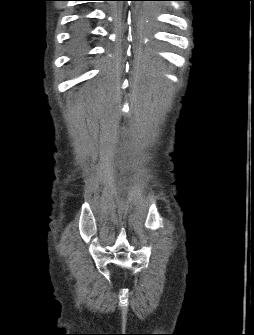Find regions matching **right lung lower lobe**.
<instances>
[{
  "mask_svg": "<svg viewBox=\"0 0 254 335\" xmlns=\"http://www.w3.org/2000/svg\"><path fill=\"white\" fill-rule=\"evenodd\" d=\"M80 21H83V22H85V24L87 25V22H86V20H85V19H82V20H80ZM80 21H79V22H80Z\"/></svg>",
  "mask_w": 254,
  "mask_h": 335,
  "instance_id": "1",
  "label": "right lung lower lobe"
}]
</instances>
